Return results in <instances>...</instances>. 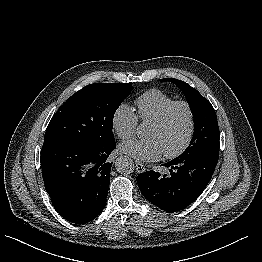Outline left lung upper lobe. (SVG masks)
<instances>
[{
    "label": "left lung upper lobe",
    "instance_id": "1",
    "mask_svg": "<svg viewBox=\"0 0 262 262\" xmlns=\"http://www.w3.org/2000/svg\"><path fill=\"white\" fill-rule=\"evenodd\" d=\"M162 81L175 83L186 95L194 116V134L188 148L178 157L219 154V127L211 103L187 83L165 78Z\"/></svg>",
    "mask_w": 262,
    "mask_h": 262
}]
</instances>
